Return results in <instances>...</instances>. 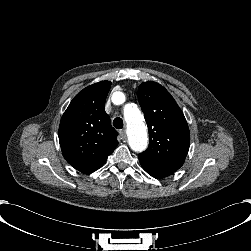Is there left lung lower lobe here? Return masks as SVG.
I'll list each match as a JSON object with an SVG mask.
<instances>
[{
	"instance_id": "1",
	"label": "left lung lower lobe",
	"mask_w": 251,
	"mask_h": 251,
	"mask_svg": "<svg viewBox=\"0 0 251 251\" xmlns=\"http://www.w3.org/2000/svg\"><path fill=\"white\" fill-rule=\"evenodd\" d=\"M139 161L143 169L154 178L162 179L174 173L173 171L158 167L149 161L140 158Z\"/></svg>"
}]
</instances>
